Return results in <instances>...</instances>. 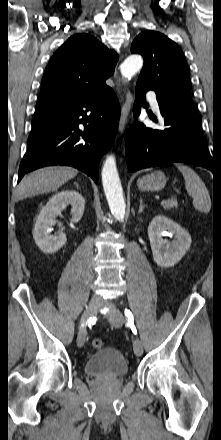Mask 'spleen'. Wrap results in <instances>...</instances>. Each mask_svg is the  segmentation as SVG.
<instances>
[{"instance_id":"obj_1","label":"spleen","mask_w":221,"mask_h":440,"mask_svg":"<svg viewBox=\"0 0 221 440\" xmlns=\"http://www.w3.org/2000/svg\"><path fill=\"white\" fill-rule=\"evenodd\" d=\"M176 166L184 177L185 188L193 198L194 208L200 212L208 213L211 210V199L204 182L190 167L183 164H176Z\"/></svg>"}]
</instances>
